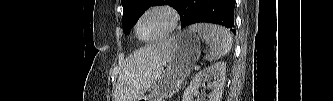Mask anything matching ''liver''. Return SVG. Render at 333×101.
<instances>
[{
	"instance_id": "obj_1",
	"label": "liver",
	"mask_w": 333,
	"mask_h": 101,
	"mask_svg": "<svg viewBox=\"0 0 333 101\" xmlns=\"http://www.w3.org/2000/svg\"><path fill=\"white\" fill-rule=\"evenodd\" d=\"M167 53L165 41L135 51L119 75L115 101H136L142 97L159 75Z\"/></svg>"
}]
</instances>
